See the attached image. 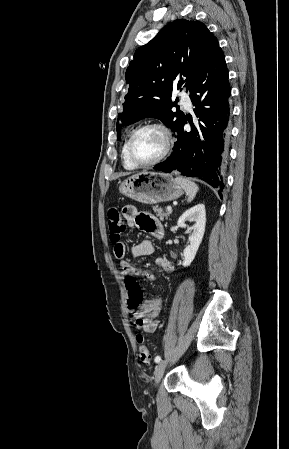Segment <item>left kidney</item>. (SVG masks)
<instances>
[{
	"label": "left kidney",
	"instance_id": "obj_1",
	"mask_svg": "<svg viewBox=\"0 0 289 449\" xmlns=\"http://www.w3.org/2000/svg\"><path fill=\"white\" fill-rule=\"evenodd\" d=\"M195 222L191 227L192 233L190 235V244L186 246L183 251L184 260L182 265L184 267L189 266L194 260L198 248L202 242V238L205 232L206 225V211L204 204H198L188 209L186 212L182 214V216L178 220V227L185 228V222Z\"/></svg>",
	"mask_w": 289,
	"mask_h": 449
}]
</instances>
